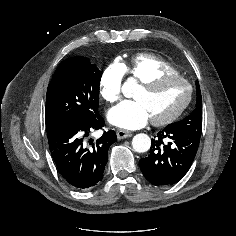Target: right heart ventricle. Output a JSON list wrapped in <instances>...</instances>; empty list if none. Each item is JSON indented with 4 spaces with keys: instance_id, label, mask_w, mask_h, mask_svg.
Returning a JSON list of instances; mask_svg holds the SVG:
<instances>
[{
    "instance_id": "right-heart-ventricle-1",
    "label": "right heart ventricle",
    "mask_w": 236,
    "mask_h": 236,
    "mask_svg": "<svg viewBox=\"0 0 236 236\" xmlns=\"http://www.w3.org/2000/svg\"><path fill=\"white\" fill-rule=\"evenodd\" d=\"M130 76L139 83L167 73L177 74V70L164 59L149 53L135 56L129 67Z\"/></svg>"
}]
</instances>
